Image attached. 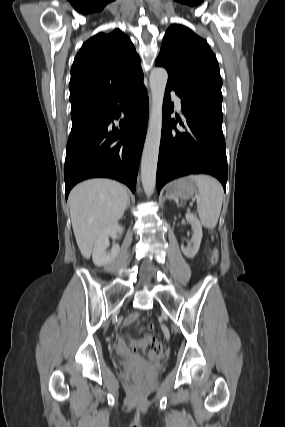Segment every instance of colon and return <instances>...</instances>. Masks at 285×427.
Instances as JSON below:
<instances>
[{
  "label": "colon",
  "instance_id": "colon-1",
  "mask_svg": "<svg viewBox=\"0 0 285 427\" xmlns=\"http://www.w3.org/2000/svg\"><path fill=\"white\" fill-rule=\"evenodd\" d=\"M218 262V252L214 250L211 256V263L216 264ZM153 329L152 325L146 327L147 331ZM129 348L132 350H143L150 358L156 359L162 356L163 354V345L160 341L153 337H144L140 339H131L128 342ZM132 378L135 383H141L143 379V373L139 370H136L132 373Z\"/></svg>",
  "mask_w": 285,
  "mask_h": 427
}]
</instances>
